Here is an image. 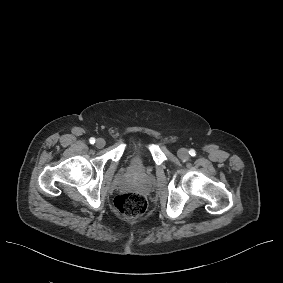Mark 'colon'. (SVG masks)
I'll return each mask as SVG.
<instances>
[{
    "label": "colon",
    "instance_id": "1",
    "mask_svg": "<svg viewBox=\"0 0 283 283\" xmlns=\"http://www.w3.org/2000/svg\"><path fill=\"white\" fill-rule=\"evenodd\" d=\"M114 204L118 211L128 219H135L142 215L147 207L145 197L137 192H129L118 195Z\"/></svg>",
    "mask_w": 283,
    "mask_h": 283
}]
</instances>
